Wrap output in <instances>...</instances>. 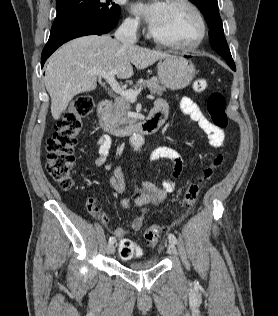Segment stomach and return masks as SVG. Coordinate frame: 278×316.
<instances>
[{"label": "stomach", "mask_w": 278, "mask_h": 316, "mask_svg": "<svg viewBox=\"0 0 278 316\" xmlns=\"http://www.w3.org/2000/svg\"><path fill=\"white\" fill-rule=\"evenodd\" d=\"M160 82L168 89L180 90L187 87L195 76V67L187 56L166 55L157 64Z\"/></svg>", "instance_id": "0dacf381"}]
</instances>
